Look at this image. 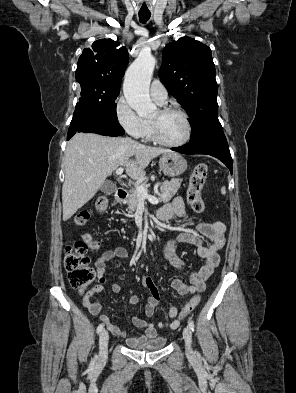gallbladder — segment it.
<instances>
[{"label":"gallbladder","mask_w":296,"mask_h":393,"mask_svg":"<svg viewBox=\"0 0 296 393\" xmlns=\"http://www.w3.org/2000/svg\"><path fill=\"white\" fill-rule=\"evenodd\" d=\"M116 189V185L110 181H105L100 188V190L105 194H112L116 191Z\"/></svg>","instance_id":"gallbladder-1"}]
</instances>
